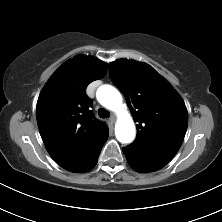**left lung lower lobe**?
<instances>
[{"label":"left lung lower lobe","instance_id":"0a47b994","mask_svg":"<svg viewBox=\"0 0 222 222\" xmlns=\"http://www.w3.org/2000/svg\"><path fill=\"white\" fill-rule=\"evenodd\" d=\"M128 163H129L130 166H131L134 170H136V171H139V172H152V171L146 170V169H144V168L138 167V166H136V165H134V164H132V163H130V162H128Z\"/></svg>","mask_w":222,"mask_h":222}]
</instances>
